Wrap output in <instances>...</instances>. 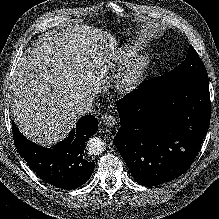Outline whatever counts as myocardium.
<instances>
[{"instance_id":"f54148a6","label":"myocardium","mask_w":219,"mask_h":219,"mask_svg":"<svg viewBox=\"0 0 219 219\" xmlns=\"http://www.w3.org/2000/svg\"><path fill=\"white\" fill-rule=\"evenodd\" d=\"M149 63V58L145 55H138L127 63L116 77V90L121 94L133 90L147 70Z\"/></svg>"}]
</instances>
